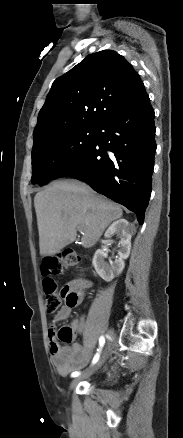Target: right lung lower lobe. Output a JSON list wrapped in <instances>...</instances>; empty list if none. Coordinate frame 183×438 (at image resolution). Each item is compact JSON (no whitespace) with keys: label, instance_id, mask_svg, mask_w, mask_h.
<instances>
[{"label":"right lung lower lobe","instance_id":"1","mask_svg":"<svg viewBox=\"0 0 183 438\" xmlns=\"http://www.w3.org/2000/svg\"><path fill=\"white\" fill-rule=\"evenodd\" d=\"M148 95L104 120L93 142L56 176L90 185L135 212L140 224L148 206L156 143Z\"/></svg>","mask_w":183,"mask_h":438}]
</instances>
